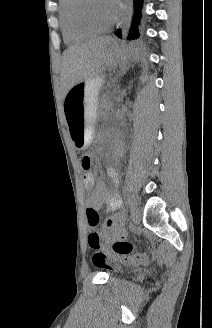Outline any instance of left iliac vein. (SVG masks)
<instances>
[{"label": "left iliac vein", "instance_id": "obj_1", "mask_svg": "<svg viewBox=\"0 0 212 328\" xmlns=\"http://www.w3.org/2000/svg\"><path fill=\"white\" fill-rule=\"evenodd\" d=\"M142 219V213L140 208L137 205L132 206V211H131V220L134 225H137L140 223Z\"/></svg>", "mask_w": 212, "mask_h": 328}]
</instances>
